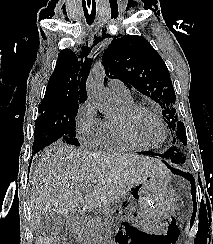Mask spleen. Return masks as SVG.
I'll list each match as a JSON object with an SVG mask.
<instances>
[{
	"label": "spleen",
	"instance_id": "3e777b00",
	"mask_svg": "<svg viewBox=\"0 0 213 244\" xmlns=\"http://www.w3.org/2000/svg\"><path fill=\"white\" fill-rule=\"evenodd\" d=\"M191 213H192V210L190 209V211H189V215H188V218L190 219V217H191ZM189 219H188V224H189Z\"/></svg>",
	"mask_w": 213,
	"mask_h": 244
}]
</instances>
